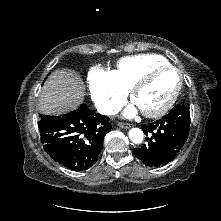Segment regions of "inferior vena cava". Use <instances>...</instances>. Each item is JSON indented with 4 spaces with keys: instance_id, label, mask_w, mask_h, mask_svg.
<instances>
[{
    "instance_id": "1",
    "label": "inferior vena cava",
    "mask_w": 221,
    "mask_h": 221,
    "mask_svg": "<svg viewBox=\"0 0 221 221\" xmlns=\"http://www.w3.org/2000/svg\"><path fill=\"white\" fill-rule=\"evenodd\" d=\"M97 111L102 115H111V114H116L118 112V109L106 104V105H99L97 107Z\"/></svg>"
}]
</instances>
